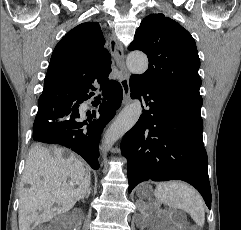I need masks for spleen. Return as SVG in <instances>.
I'll use <instances>...</instances> for the list:
<instances>
[{
  "instance_id": "3e777b00",
  "label": "spleen",
  "mask_w": 241,
  "mask_h": 230,
  "mask_svg": "<svg viewBox=\"0 0 241 230\" xmlns=\"http://www.w3.org/2000/svg\"><path fill=\"white\" fill-rule=\"evenodd\" d=\"M155 196L160 202L189 213L200 227L204 225V202L193 187L178 181L159 183L155 188Z\"/></svg>"
}]
</instances>
